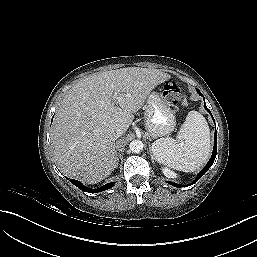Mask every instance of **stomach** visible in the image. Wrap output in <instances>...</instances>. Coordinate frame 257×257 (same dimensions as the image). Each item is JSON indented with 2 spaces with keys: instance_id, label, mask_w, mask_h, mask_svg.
Listing matches in <instances>:
<instances>
[{
  "instance_id": "1",
  "label": "stomach",
  "mask_w": 257,
  "mask_h": 257,
  "mask_svg": "<svg viewBox=\"0 0 257 257\" xmlns=\"http://www.w3.org/2000/svg\"><path fill=\"white\" fill-rule=\"evenodd\" d=\"M143 109L145 127L151 138L165 136L175 129V116L162 93L151 92Z\"/></svg>"
}]
</instances>
